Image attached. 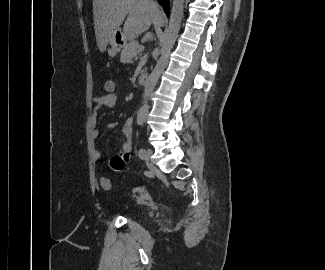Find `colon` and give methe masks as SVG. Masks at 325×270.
I'll return each instance as SVG.
<instances>
[{"label": "colon", "instance_id": "colon-1", "mask_svg": "<svg viewBox=\"0 0 325 270\" xmlns=\"http://www.w3.org/2000/svg\"><path fill=\"white\" fill-rule=\"evenodd\" d=\"M103 89L105 94L107 95H114L116 94V90H117V85L116 82L113 79H107L104 84H103ZM100 185L104 190H111L112 186H111V182L108 178H101L100 180ZM133 197H136L135 194H132Z\"/></svg>", "mask_w": 325, "mask_h": 270}]
</instances>
